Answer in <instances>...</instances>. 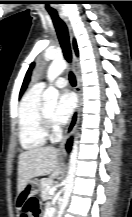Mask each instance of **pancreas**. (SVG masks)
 <instances>
[{"mask_svg":"<svg viewBox=\"0 0 132 217\" xmlns=\"http://www.w3.org/2000/svg\"><path fill=\"white\" fill-rule=\"evenodd\" d=\"M54 181L52 178H43L40 180L41 198L43 201L50 198L49 191L53 188Z\"/></svg>","mask_w":132,"mask_h":217,"instance_id":"pancreas-1","label":"pancreas"}]
</instances>
